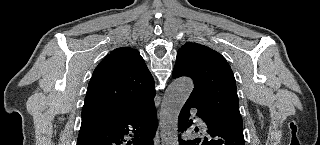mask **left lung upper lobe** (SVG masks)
I'll return each instance as SVG.
<instances>
[{
	"instance_id": "left-lung-upper-lobe-1",
	"label": "left lung upper lobe",
	"mask_w": 320,
	"mask_h": 145,
	"mask_svg": "<svg viewBox=\"0 0 320 145\" xmlns=\"http://www.w3.org/2000/svg\"><path fill=\"white\" fill-rule=\"evenodd\" d=\"M173 74L193 79L190 97L202 113L242 128L236 81L221 54L207 46L187 42L178 50Z\"/></svg>"
}]
</instances>
